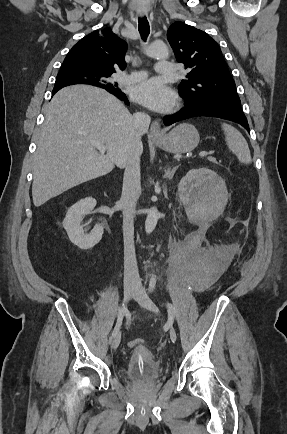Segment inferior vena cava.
<instances>
[{"mask_svg":"<svg viewBox=\"0 0 287 434\" xmlns=\"http://www.w3.org/2000/svg\"><path fill=\"white\" fill-rule=\"evenodd\" d=\"M133 119L136 126L137 141H141V136L148 130L151 118L144 112H138L133 115ZM140 191V154L133 151L128 157L125 167L121 196L123 208L124 281L130 283L140 282L134 247V216Z\"/></svg>","mask_w":287,"mask_h":434,"instance_id":"602c4592","label":"inferior vena cava"}]
</instances>
